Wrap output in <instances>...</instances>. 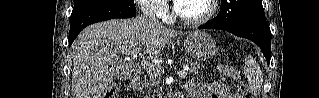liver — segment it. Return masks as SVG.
<instances>
[{"label": "liver", "mask_w": 319, "mask_h": 98, "mask_svg": "<svg viewBox=\"0 0 319 98\" xmlns=\"http://www.w3.org/2000/svg\"><path fill=\"white\" fill-rule=\"evenodd\" d=\"M177 34L142 17L114 19L87 27L72 45L71 98H101L112 82L119 52L143 47L149 56H157Z\"/></svg>", "instance_id": "1"}]
</instances>
